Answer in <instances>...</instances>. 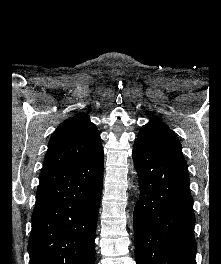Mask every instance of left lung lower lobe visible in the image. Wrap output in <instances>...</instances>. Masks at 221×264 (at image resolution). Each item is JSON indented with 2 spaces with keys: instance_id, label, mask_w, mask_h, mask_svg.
<instances>
[{
  "instance_id": "0a47b994",
  "label": "left lung lower lobe",
  "mask_w": 221,
  "mask_h": 264,
  "mask_svg": "<svg viewBox=\"0 0 221 264\" xmlns=\"http://www.w3.org/2000/svg\"><path fill=\"white\" fill-rule=\"evenodd\" d=\"M132 157L140 183L133 216L136 264H196L187 165L137 143Z\"/></svg>"
}]
</instances>
